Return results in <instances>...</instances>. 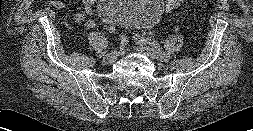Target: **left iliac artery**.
I'll list each match as a JSON object with an SVG mask.
<instances>
[{"label": "left iliac artery", "mask_w": 253, "mask_h": 131, "mask_svg": "<svg viewBox=\"0 0 253 131\" xmlns=\"http://www.w3.org/2000/svg\"><path fill=\"white\" fill-rule=\"evenodd\" d=\"M136 37H137L140 41H142V42H144V43H146V44H149V45L153 46V47H154L155 49H157L158 51H161V46H160V44H159L156 40H154V39H152V38H150V37H146V36L140 35V34H136Z\"/></svg>", "instance_id": "obj_1"}]
</instances>
